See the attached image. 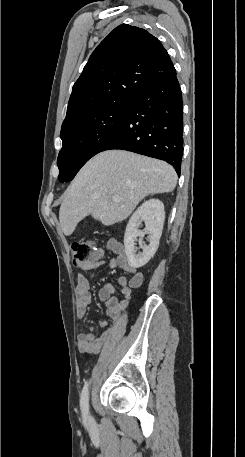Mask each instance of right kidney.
Returning a JSON list of instances; mask_svg holds the SVG:
<instances>
[{
  "mask_svg": "<svg viewBox=\"0 0 245 457\" xmlns=\"http://www.w3.org/2000/svg\"><path fill=\"white\" fill-rule=\"evenodd\" d=\"M145 224L144 231H139V226ZM165 220V210L162 200L159 198H149L145 200L135 212H133L126 226L124 235L125 253L129 267L139 269L154 257L162 235L163 224ZM148 233L147 241L149 245L139 243L142 253H137L134 241L137 237H144Z\"/></svg>",
  "mask_w": 245,
  "mask_h": 457,
  "instance_id": "right-kidney-1",
  "label": "right kidney"
}]
</instances>
